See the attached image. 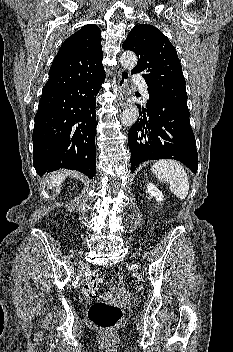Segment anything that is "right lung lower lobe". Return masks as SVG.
Here are the masks:
<instances>
[{
    "instance_id": "right-lung-lower-lobe-1",
    "label": "right lung lower lobe",
    "mask_w": 233,
    "mask_h": 352,
    "mask_svg": "<svg viewBox=\"0 0 233 352\" xmlns=\"http://www.w3.org/2000/svg\"><path fill=\"white\" fill-rule=\"evenodd\" d=\"M105 77L104 71L65 89L42 93L32 137L33 166L40 176L60 168L90 178L95 175V99Z\"/></svg>"
}]
</instances>
